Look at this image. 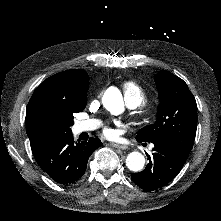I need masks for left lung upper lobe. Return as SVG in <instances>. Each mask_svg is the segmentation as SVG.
Listing matches in <instances>:
<instances>
[{
  "label": "left lung upper lobe",
  "instance_id": "obj_1",
  "mask_svg": "<svg viewBox=\"0 0 221 221\" xmlns=\"http://www.w3.org/2000/svg\"><path fill=\"white\" fill-rule=\"evenodd\" d=\"M160 104L157 120L143 127L136 139L165 140L189 154L196 135L197 104L187 84L168 71L155 76Z\"/></svg>",
  "mask_w": 221,
  "mask_h": 221
}]
</instances>
